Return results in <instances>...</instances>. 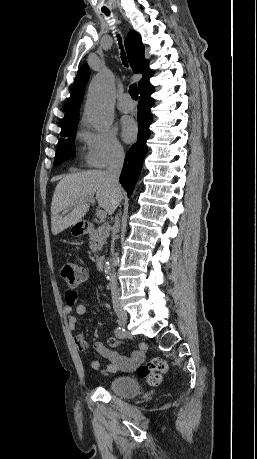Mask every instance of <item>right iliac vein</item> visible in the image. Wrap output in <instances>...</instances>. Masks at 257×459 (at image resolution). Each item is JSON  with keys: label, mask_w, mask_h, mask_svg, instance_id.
<instances>
[{"label": "right iliac vein", "mask_w": 257, "mask_h": 459, "mask_svg": "<svg viewBox=\"0 0 257 459\" xmlns=\"http://www.w3.org/2000/svg\"><path fill=\"white\" fill-rule=\"evenodd\" d=\"M116 314H117L120 325L125 326L128 321L127 313L121 308L117 307Z\"/></svg>", "instance_id": "obj_1"}]
</instances>
